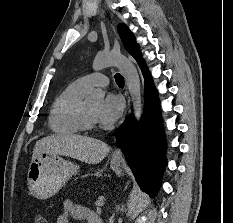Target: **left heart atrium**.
<instances>
[{
  "instance_id": "39dd6f15",
  "label": "left heart atrium",
  "mask_w": 233,
  "mask_h": 223,
  "mask_svg": "<svg viewBox=\"0 0 233 223\" xmlns=\"http://www.w3.org/2000/svg\"><path fill=\"white\" fill-rule=\"evenodd\" d=\"M123 112V102L120 97L109 94L99 105L96 119L101 124L115 123Z\"/></svg>"
}]
</instances>
